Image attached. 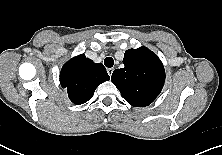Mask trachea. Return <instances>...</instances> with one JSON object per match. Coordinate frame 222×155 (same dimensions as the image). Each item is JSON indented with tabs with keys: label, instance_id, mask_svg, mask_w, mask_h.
<instances>
[{
	"label": "trachea",
	"instance_id": "1",
	"mask_svg": "<svg viewBox=\"0 0 222 155\" xmlns=\"http://www.w3.org/2000/svg\"><path fill=\"white\" fill-rule=\"evenodd\" d=\"M104 64L106 67L111 68L114 65V60L111 57H106L104 60Z\"/></svg>",
	"mask_w": 222,
	"mask_h": 155
}]
</instances>
